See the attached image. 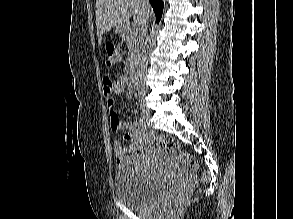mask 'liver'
Returning a JSON list of instances; mask_svg holds the SVG:
<instances>
[{
    "mask_svg": "<svg viewBox=\"0 0 293 219\" xmlns=\"http://www.w3.org/2000/svg\"><path fill=\"white\" fill-rule=\"evenodd\" d=\"M96 27L98 43L102 35L112 27L123 28L133 15L135 30L144 32L152 18V8L145 5V0H96Z\"/></svg>",
    "mask_w": 293,
    "mask_h": 219,
    "instance_id": "liver-1",
    "label": "liver"
}]
</instances>
